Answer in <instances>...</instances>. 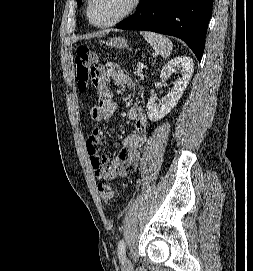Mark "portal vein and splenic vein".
Returning a JSON list of instances; mask_svg holds the SVG:
<instances>
[{
  "mask_svg": "<svg viewBox=\"0 0 253 271\" xmlns=\"http://www.w3.org/2000/svg\"><path fill=\"white\" fill-rule=\"evenodd\" d=\"M137 66L138 68H141V69L145 67L143 63H138Z\"/></svg>",
  "mask_w": 253,
  "mask_h": 271,
  "instance_id": "18ae733b",
  "label": "portal vein and splenic vein"
}]
</instances>
